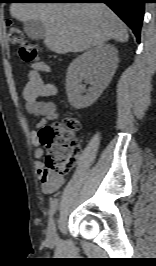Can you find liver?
Instances as JSON below:
<instances>
[{"label":"liver","instance_id":"obj_1","mask_svg":"<svg viewBox=\"0 0 156 266\" xmlns=\"http://www.w3.org/2000/svg\"><path fill=\"white\" fill-rule=\"evenodd\" d=\"M11 16L39 20L45 26L44 44L57 54L82 52L110 39L125 43V24L103 3H12Z\"/></svg>","mask_w":156,"mask_h":266}]
</instances>
